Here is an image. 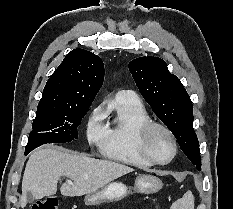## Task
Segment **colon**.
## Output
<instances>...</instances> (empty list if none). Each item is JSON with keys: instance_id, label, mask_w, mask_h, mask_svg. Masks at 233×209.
Segmentation results:
<instances>
[{"instance_id": "colon-1", "label": "colon", "mask_w": 233, "mask_h": 209, "mask_svg": "<svg viewBox=\"0 0 233 209\" xmlns=\"http://www.w3.org/2000/svg\"><path fill=\"white\" fill-rule=\"evenodd\" d=\"M58 201L56 198H47L35 203L31 209H57Z\"/></svg>"}]
</instances>
